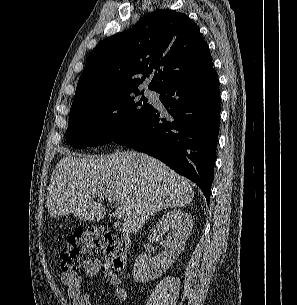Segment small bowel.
<instances>
[{"label": "small bowel", "mask_w": 297, "mask_h": 305, "mask_svg": "<svg viewBox=\"0 0 297 305\" xmlns=\"http://www.w3.org/2000/svg\"><path fill=\"white\" fill-rule=\"evenodd\" d=\"M100 272H103L106 280L115 286V298L118 301H125L127 299V291L120 286L121 277L119 274L112 271L108 266H104L97 258L89 260L83 269L85 280H91ZM60 278L73 305H91L90 291L84 287L81 275L75 271H64L61 273Z\"/></svg>", "instance_id": "1"}]
</instances>
